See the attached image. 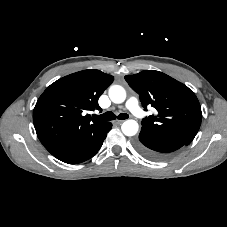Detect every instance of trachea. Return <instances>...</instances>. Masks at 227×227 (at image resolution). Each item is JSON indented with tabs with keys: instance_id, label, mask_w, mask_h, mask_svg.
<instances>
[{
	"instance_id": "1",
	"label": "trachea",
	"mask_w": 227,
	"mask_h": 227,
	"mask_svg": "<svg viewBox=\"0 0 227 227\" xmlns=\"http://www.w3.org/2000/svg\"><path fill=\"white\" fill-rule=\"evenodd\" d=\"M128 117H129V116H128V114H126V113H121V114H119V115L117 116V118L120 119V120H125V119H127ZM94 118H95L96 120L110 121V120L116 119V115H115L113 112L108 111V112L103 113L102 115H95Z\"/></svg>"
}]
</instances>
